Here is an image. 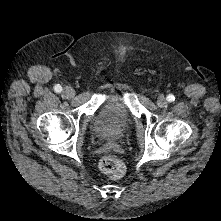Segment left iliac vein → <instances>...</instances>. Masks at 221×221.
I'll list each match as a JSON object with an SVG mask.
<instances>
[{
    "instance_id": "4c4485c4",
    "label": "left iliac vein",
    "mask_w": 221,
    "mask_h": 221,
    "mask_svg": "<svg viewBox=\"0 0 221 221\" xmlns=\"http://www.w3.org/2000/svg\"><path fill=\"white\" fill-rule=\"evenodd\" d=\"M157 105L159 107H164L167 105V101L164 97H160L158 100H157Z\"/></svg>"
}]
</instances>
